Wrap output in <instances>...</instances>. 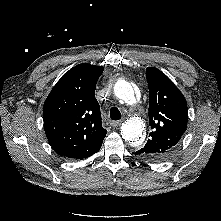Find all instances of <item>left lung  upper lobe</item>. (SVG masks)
Listing matches in <instances>:
<instances>
[{
    "label": "left lung upper lobe",
    "instance_id": "left-lung-upper-lobe-1",
    "mask_svg": "<svg viewBox=\"0 0 221 221\" xmlns=\"http://www.w3.org/2000/svg\"><path fill=\"white\" fill-rule=\"evenodd\" d=\"M149 123L152 132L145 146L134 154L144 160L159 162L174 151L186 131V99L174 83L159 69L148 67Z\"/></svg>",
    "mask_w": 221,
    "mask_h": 221
}]
</instances>
